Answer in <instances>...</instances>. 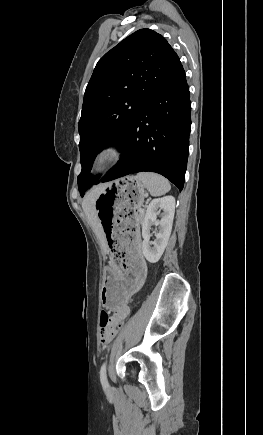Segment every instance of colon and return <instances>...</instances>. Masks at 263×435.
Returning <instances> with one entry per match:
<instances>
[{
	"label": "colon",
	"mask_w": 263,
	"mask_h": 435,
	"mask_svg": "<svg viewBox=\"0 0 263 435\" xmlns=\"http://www.w3.org/2000/svg\"><path fill=\"white\" fill-rule=\"evenodd\" d=\"M108 321H113V319L111 318L110 314L107 311H105V310L101 311V314H100V327H101L100 336H101V341L104 344H108L112 340V338H113V335H110L108 333V329L105 327V324ZM124 325H125V322L124 321H120L116 325V328L117 329H124Z\"/></svg>",
	"instance_id": "colon-1"
}]
</instances>
